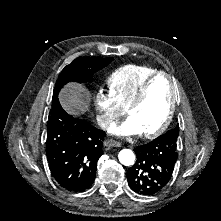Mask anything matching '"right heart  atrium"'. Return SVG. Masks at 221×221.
<instances>
[{"label":"right heart atrium","instance_id":"1","mask_svg":"<svg viewBox=\"0 0 221 221\" xmlns=\"http://www.w3.org/2000/svg\"><path fill=\"white\" fill-rule=\"evenodd\" d=\"M97 121L102 128H108L122 113V107L110 91L99 90L95 95Z\"/></svg>","mask_w":221,"mask_h":221}]
</instances>
